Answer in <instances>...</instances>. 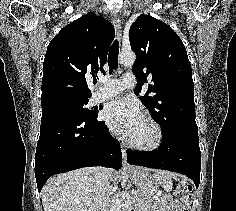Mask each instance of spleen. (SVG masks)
Returning a JSON list of instances; mask_svg holds the SVG:
<instances>
[{"mask_svg":"<svg viewBox=\"0 0 236 211\" xmlns=\"http://www.w3.org/2000/svg\"><path fill=\"white\" fill-rule=\"evenodd\" d=\"M173 174L167 171H157L153 174V178L163 187L166 192H170L173 189L172 178Z\"/></svg>","mask_w":236,"mask_h":211,"instance_id":"obj_1","label":"spleen"}]
</instances>
